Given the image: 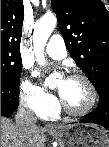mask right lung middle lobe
<instances>
[{"label": "right lung middle lobe", "instance_id": "obj_1", "mask_svg": "<svg viewBox=\"0 0 109 147\" xmlns=\"http://www.w3.org/2000/svg\"><path fill=\"white\" fill-rule=\"evenodd\" d=\"M21 68L20 53L1 48V84L19 86Z\"/></svg>", "mask_w": 109, "mask_h": 147}]
</instances>
